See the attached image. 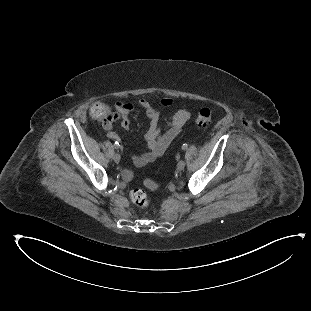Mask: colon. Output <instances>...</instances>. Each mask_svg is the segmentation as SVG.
Instances as JSON below:
<instances>
[{"mask_svg": "<svg viewBox=\"0 0 311 311\" xmlns=\"http://www.w3.org/2000/svg\"><path fill=\"white\" fill-rule=\"evenodd\" d=\"M89 114L95 121H101L107 125L112 121L113 113L109 106L102 102H94L89 109ZM213 119L212 111L209 108H202L198 111L196 116V125L204 128L211 124ZM145 185L152 189H159L161 185L151 180H146ZM132 202L139 208H146L148 206L149 198L148 195L139 188H134L130 192Z\"/></svg>", "mask_w": 311, "mask_h": 311, "instance_id": "colon-1", "label": "colon"}]
</instances>
